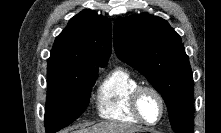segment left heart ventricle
<instances>
[{"instance_id":"obj_1","label":"left heart ventricle","mask_w":221,"mask_h":133,"mask_svg":"<svg viewBox=\"0 0 221 133\" xmlns=\"http://www.w3.org/2000/svg\"><path fill=\"white\" fill-rule=\"evenodd\" d=\"M140 108L145 119L155 122L160 116V105L156 97L150 93H145L140 100Z\"/></svg>"}]
</instances>
